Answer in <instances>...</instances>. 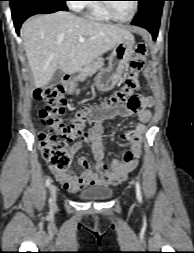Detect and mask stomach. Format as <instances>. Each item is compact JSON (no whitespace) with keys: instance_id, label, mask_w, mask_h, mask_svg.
Listing matches in <instances>:
<instances>
[{"instance_id":"0dacf381","label":"stomach","mask_w":194,"mask_h":253,"mask_svg":"<svg viewBox=\"0 0 194 253\" xmlns=\"http://www.w3.org/2000/svg\"><path fill=\"white\" fill-rule=\"evenodd\" d=\"M134 40L124 39L112 48L108 58V67L101 70L95 78V84L101 91L111 90L120 80L125 67L133 54ZM76 79L68 82L67 87L73 91L76 88Z\"/></svg>"}]
</instances>
